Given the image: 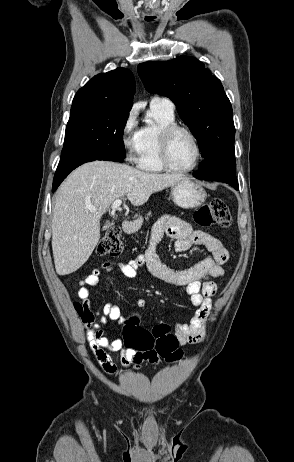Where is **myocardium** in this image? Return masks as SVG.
<instances>
[{
	"instance_id": "myocardium-1",
	"label": "myocardium",
	"mask_w": 294,
	"mask_h": 462,
	"mask_svg": "<svg viewBox=\"0 0 294 462\" xmlns=\"http://www.w3.org/2000/svg\"><path fill=\"white\" fill-rule=\"evenodd\" d=\"M178 132L186 133L193 141L196 155L191 166L187 168H177L170 161V144L174 135ZM202 157V147L195 133L188 127L179 124H170L165 126L159 136V158L163 168L172 173H188L193 171L199 164Z\"/></svg>"
}]
</instances>
